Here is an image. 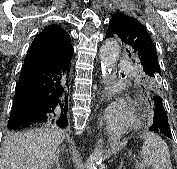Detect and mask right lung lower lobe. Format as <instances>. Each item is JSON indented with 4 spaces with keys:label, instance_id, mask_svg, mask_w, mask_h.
<instances>
[{
    "label": "right lung lower lobe",
    "instance_id": "obj_1",
    "mask_svg": "<svg viewBox=\"0 0 177 169\" xmlns=\"http://www.w3.org/2000/svg\"><path fill=\"white\" fill-rule=\"evenodd\" d=\"M69 83L70 62L26 58L15 89L8 128L21 129L43 122L66 127Z\"/></svg>",
    "mask_w": 177,
    "mask_h": 169
}]
</instances>
